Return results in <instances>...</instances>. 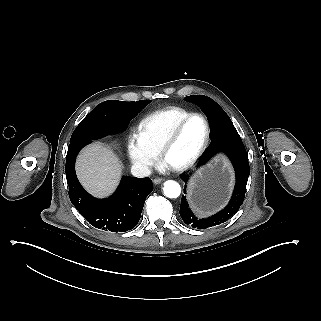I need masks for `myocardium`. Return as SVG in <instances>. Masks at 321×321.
Here are the masks:
<instances>
[{"label":"myocardium","instance_id":"f54148a6","mask_svg":"<svg viewBox=\"0 0 321 321\" xmlns=\"http://www.w3.org/2000/svg\"><path fill=\"white\" fill-rule=\"evenodd\" d=\"M194 117H199L204 122V125H205L204 139H203V142H202L201 146L199 147L198 151L196 152V154L187 163L180 165V166L173 167L175 170H177L179 172H186V171H189L192 168H194L200 162V160L204 156V154L209 146L211 131H210V124H209L208 120L206 119V117L200 113H191V114L183 117L182 119H180L171 128L170 132L166 136V138L161 146V149H160V153H161L162 158L164 160H166V157H167L169 151L171 150V148L173 147V145L175 144V142L177 140V137L179 135L181 128L189 120H191Z\"/></svg>","mask_w":321,"mask_h":321}]
</instances>
